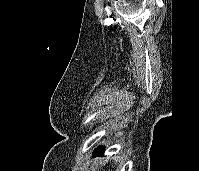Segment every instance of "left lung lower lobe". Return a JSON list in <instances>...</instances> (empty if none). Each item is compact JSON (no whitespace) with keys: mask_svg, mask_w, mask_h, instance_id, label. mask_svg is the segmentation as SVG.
<instances>
[{"mask_svg":"<svg viewBox=\"0 0 199 171\" xmlns=\"http://www.w3.org/2000/svg\"><path fill=\"white\" fill-rule=\"evenodd\" d=\"M104 152V147H98L97 149H95L94 154H101Z\"/></svg>","mask_w":199,"mask_h":171,"instance_id":"left-lung-lower-lobe-1","label":"left lung lower lobe"}]
</instances>
